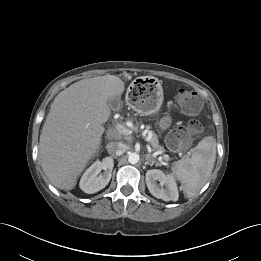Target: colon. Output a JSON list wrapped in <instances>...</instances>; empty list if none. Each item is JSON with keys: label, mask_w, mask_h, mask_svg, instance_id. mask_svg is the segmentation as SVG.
<instances>
[{"label": "colon", "mask_w": 261, "mask_h": 261, "mask_svg": "<svg viewBox=\"0 0 261 261\" xmlns=\"http://www.w3.org/2000/svg\"><path fill=\"white\" fill-rule=\"evenodd\" d=\"M176 100L181 110L189 115L197 114L202 106L201 99L197 93L186 88H181L177 91ZM202 129L201 122L195 119L189 121L184 127L176 128L167 138L169 147L174 151L188 148L193 136L200 134Z\"/></svg>", "instance_id": "colon-1"}]
</instances>
